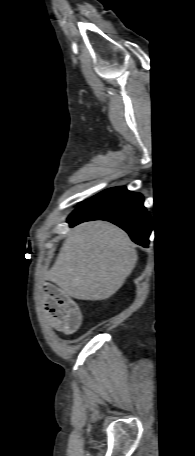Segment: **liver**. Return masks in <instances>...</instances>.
Segmentation results:
<instances>
[{"label":"liver","instance_id":"liver-1","mask_svg":"<svg viewBox=\"0 0 195 456\" xmlns=\"http://www.w3.org/2000/svg\"><path fill=\"white\" fill-rule=\"evenodd\" d=\"M138 260L129 236L115 225L93 221L78 225L65 239L46 278L79 300L114 295Z\"/></svg>","mask_w":195,"mask_h":456}]
</instances>
